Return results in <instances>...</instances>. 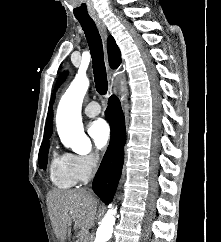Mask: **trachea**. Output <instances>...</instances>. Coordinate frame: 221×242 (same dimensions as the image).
Here are the masks:
<instances>
[{"label":"trachea","mask_w":221,"mask_h":242,"mask_svg":"<svg viewBox=\"0 0 221 242\" xmlns=\"http://www.w3.org/2000/svg\"><path fill=\"white\" fill-rule=\"evenodd\" d=\"M78 21L80 22L84 30L91 52L96 90L100 95H106L108 90V81L104 63V53L101 36L93 19L78 18Z\"/></svg>","instance_id":"1"}]
</instances>
